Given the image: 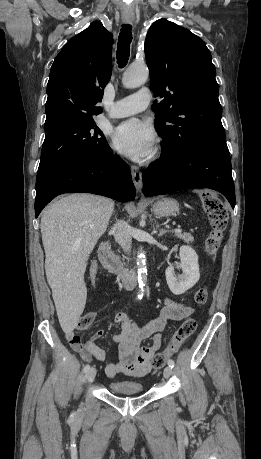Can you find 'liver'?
Returning <instances> with one entry per match:
<instances>
[{
	"label": "liver",
	"instance_id": "obj_1",
	"mask_svg": "<svg viewBox=\"0 0 261 459\" xmlns=\"http://www.w3.org/2000/svg\"><path fill=\"white\" fill-rule=\"evenodd\" d=\"M113 210V200L79 193L58 198L42 213L47 281L60 325L67 334L77 327L84 310L87 261L105 233Z\"/></svg>",
	"mask_w": 261,
	"mask_h": 459
}]
</instances>
